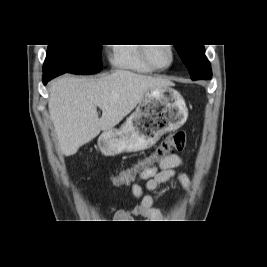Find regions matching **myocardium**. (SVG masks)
Instances as JSON below:
<instances>
[{"instance_id":"f54148a6","label":"myocardium","mask_w":267,"mask_h":267,"mask_svg":"<svg viewBox=\"0 0 267 267\" xmlns=\"http://www.w3.org/2000/svg\"><path fill=\"white\" fill-rule=\"evenodd\" d=\"M154 45H156V44H148V46L143 47V55H144L145 61L151 67H153L155 70H161L162 71V70H166V69L170 68L173 65L174 60H175V52H174L173 46L170 44H162V45H165V47H167L169 52H170V61L166 66H160V65L155 63V61L153 60V57H152V50L154 47H156Z\"/></svg>"}]
</instances>
